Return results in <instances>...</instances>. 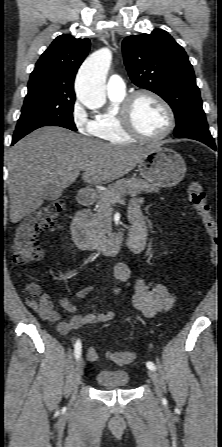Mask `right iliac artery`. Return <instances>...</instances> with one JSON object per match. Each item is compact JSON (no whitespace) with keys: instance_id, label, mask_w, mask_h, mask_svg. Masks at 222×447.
I'll return each mask as SVG.
<instances>
[{"instance_id":"1","label":"right iliac artery","mask_w":222,"mask_h":447,"mask_svg":"<svg viewBox=\"0 0 222 447\" xmlns=\"http://www.w3.org/2000/svg\"><path fill=\"white\" fill-rule=\"evenodd\" d=\"M81 352H82V345L80 340H77L75 343V349H74V355L76 360H78L81 356Z\"/></svg>"}]
</instances>
